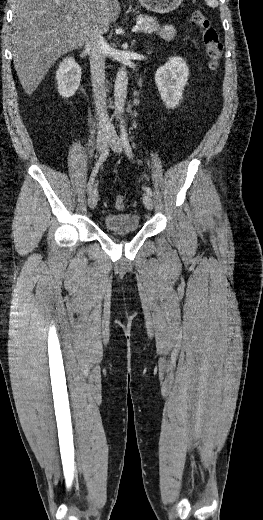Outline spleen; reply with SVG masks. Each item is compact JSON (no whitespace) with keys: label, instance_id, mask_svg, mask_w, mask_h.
<instances>
[{"label":"spleen","instance_id":"obj_1","mask_svg":"<svg viewBox=\"0 0 263 520\" xmlns=\"http://www.w3.org/2000/svg\"><path fill=\"white\" fill-rule=\"evenodd\" d=\"M205 1L212 8H216L218 6V1L217 0H205Z\"/></svg>","mask_w":263,"mask_h":520}]
</instances>
